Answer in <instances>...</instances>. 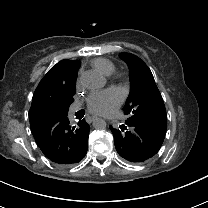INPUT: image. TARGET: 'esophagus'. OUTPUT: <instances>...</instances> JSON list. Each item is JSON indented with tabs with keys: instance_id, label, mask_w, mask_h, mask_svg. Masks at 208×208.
I'll list each match as a JSON object with an SVG mask.
<instances>
[{
	"instance_id": "1",
	"label": "esophagus",
	"mask_w": 208,
	"mask_h": 208,
	"mask_svg": "<svg viewBox=\"0 0 208 208\" xmlns=\"http://www.w3.org/2000/svg\"><path fill=\"white\" fill-rule=\"evenodd\" d=\"M95 116H89L87 119H86V121L88 122V123H91V122H93L94 120H95Z\"/></svg>"
}]
</instances>
